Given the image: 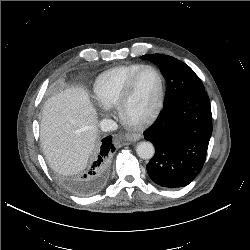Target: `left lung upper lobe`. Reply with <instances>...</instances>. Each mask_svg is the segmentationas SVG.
<instances>
[{
    "label": "left lung upper lobe",
    "mask_w": 250,
    "mask_h": 250,
    "mask_svg": "<svg viewBox=\"0 0 250 250\" xmlns=\"http://www.w3.org/2000/svg\"><path fill=\"white\" fill-rule=\"evenodd\" d=\"M158 65L167 81L164 105L187 94L204 90L203 83L195 72L185 63L163 54L142 56Z\"/></svg>",
    "instance_id": "1"
}]
</instances>
